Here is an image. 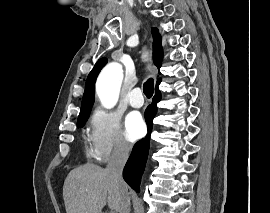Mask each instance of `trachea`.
Here are the masks:
<instances>
[{
  "mask_svg": "<svg viewBox=\"0 0 270 213\" xmlns=\"http://www.w3.org/2000/svg\"><path fill=\"white\" fill-rule=\"evenodd\" d=\"M143 91L147 98H151L154 93V82L149 78L143 85Z\"/></svg>",
  "mask_w": 270,
  "mask_h": 213,
  "instance_id": "3493384b",
  "label": "trachea"
}]
</instances>
